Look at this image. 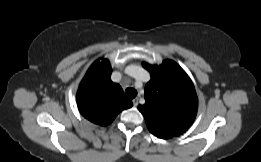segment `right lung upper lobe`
Segmentation results:
<instances>
[{"label": "right lung upper lobe", "mask_w": 261, "mask_h": 162, "mask_svg": "<svg viewBox=\"0 0 261 162\" xmlns=\"http://www.w3.org/2000/svg\"><path fill=\"white\" fill-rule=\"evenodd\" d=\"M112 69L108 60L91 65L77 92L79 112L94 124H110L124 109L133 104L126 100L119 84L110 79Z\"/></svg>", "instance_id": "cb5924a9"}]
</instances>
